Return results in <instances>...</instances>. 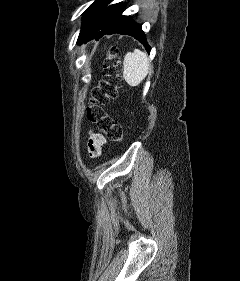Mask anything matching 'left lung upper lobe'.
<instances>
[{
  "mask_svg": "<svg viewBox=\"0 0 240 281\" xmlns=\"http://www.w3.org/2000/svg\"><path fill=\"white\" fill-rule=\"evenodd\" d=\"M104 0H95L88 9L84 12V22L83 26L87 23V21L91 18V16L94 14V12L97 10V8L102 4ZM82 26V28H83Z\"/></svg>",
  "mask_w": 240,
  "mask_h": 281,
  "instance_id": "obj_1",
  "label": "left lung upper lobe"
}]
</instances>
